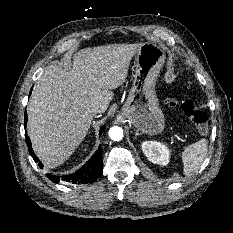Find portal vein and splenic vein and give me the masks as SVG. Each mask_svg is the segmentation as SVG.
<instances>
[{"mask_svg":"<svg viewBox=\"0 0 233 233\" xmlns=\"http://www.w3.org/2000/svg\"><path fill=\"white\" fill-rule=\"evenodd\" d=\"M177 137L178 140H182L179 136L175 135Z\"/></svg>","mask_w":233,"mask_h":233,"instance_id":"portal-vein-and-splenic-vein-1","label":"portal vein and splenic vein"}]
</instances>
